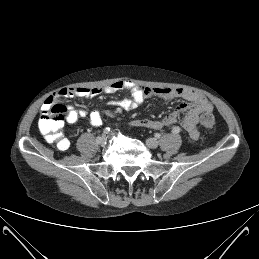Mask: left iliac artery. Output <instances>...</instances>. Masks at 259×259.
<instances>
[{
	"mask_svg": "<svg viewBox=\"0 0 259 259\" xmlns=\"http://www.w3.org/2000/svg\"><path fill=\"white\" fill-rule=\"evenodd\" d=\"M172 132H173V133H179V132H180V128H179V127H174V128L172 129Z\"/></svg>",
	"mask_w": 259,
	"mask_h": 259,
	"instance_id": "left-iliac-artery-1",
	"label": "left iliac artery"
}]
</instances>
